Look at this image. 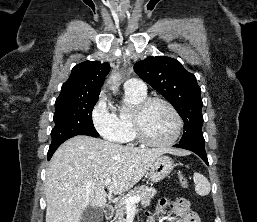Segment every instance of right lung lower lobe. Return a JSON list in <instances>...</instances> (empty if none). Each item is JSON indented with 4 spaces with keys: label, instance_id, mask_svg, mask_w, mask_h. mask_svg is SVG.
Returning a JSON list of instances; mask_svg holds the SVG:
<instances>
[{
    "label": "right lung lower lobe",
    "instance_id": "1",
    "mask_svg": "<svg viewBox=\"0 0 257 222\" xmlns=\"http://www.w3.org/2000/svg\"><path fill=\"white\" fill-rule=\"evenodd\" d=\"M63 142L56 144V145H50L49 147V151L47 154V159L50 160V158L52 157L53 153L56 151V149L62 144Z\"/></svg>",
    "mask_w": 257,
    "mask_h": 222
}]
</instances>
